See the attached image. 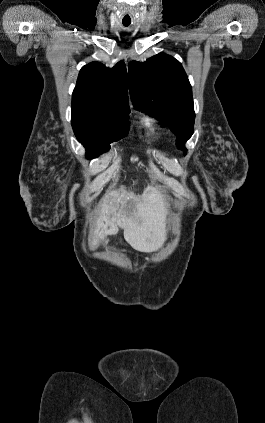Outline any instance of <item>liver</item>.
I'll list each match as a JSON object with an SVG mask.
<instances>
[{
	"mask_svg": "<svg viewBox=\"0 0 265 423\" xmlns=\"http://www.w3.org/2000/svg\"><path fill=\"white\" fill-rule=\"evenodd\" d=\"M120 191L108 192L103 197L90 246L94 247L100 239L115 235L122 228L125 240L135 250L157 251L166 240V205L162 196L154 192L149 197L135 198L137 213L131 217L127 208L133 197L123 188Z\"/></svg>",
	"mask_w": 265,
	"mask_h": 423,
	"instance_id": "obj_1",
	"label": "liver"
}]
</instances>
